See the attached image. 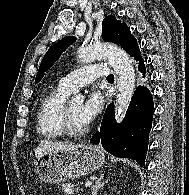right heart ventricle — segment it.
<instances>
[{"label":"right heart ventricle","instance_id":"right-heart-ventricle-1","mask_svg":"<svg viewBox=\"0 0 189 195\" xmlns=\"http://www.w3.org/2000/svg\"><path fill=\"white\" fill-rule=\"evenodd\" d=\"M70 93L58 85L42 99L36 116L37 134L40 138L58 139L63 136L61 113Z\"/></svg>","mask_w":189,"mask_h":195}]
</instances>
